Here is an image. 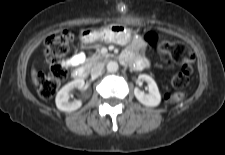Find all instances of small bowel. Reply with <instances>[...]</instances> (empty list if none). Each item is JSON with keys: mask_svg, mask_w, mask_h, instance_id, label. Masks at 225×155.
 Returning a JSON list of instances; mask_svg holds the SVG:
<instances>
[{"mask_svg": "<svg viewBox=\"0 0 225 155\" xmlns=\"http://www.w3.org/2000/svg\"><path fill=\"white\" fill-rule=\"evenodd\" d=\"M147 43L144 39L134 38L129 44L127 49L121 55L122 61L130 63L135 69H143L148 66V61L143 57ZM85 56L83 53H78L68 59L67 63L71 66H77L81 64Z\"/></svg>", "mask_w": 225, "mask_h": 155, "instance_id": "c3829d8e", "label": "small bowel"}]
</instances>
